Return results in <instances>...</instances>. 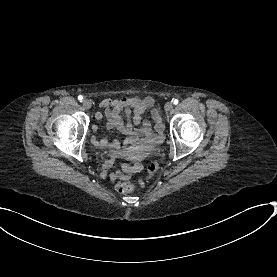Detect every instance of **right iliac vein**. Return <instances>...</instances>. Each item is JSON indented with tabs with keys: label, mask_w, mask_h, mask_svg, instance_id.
<instances>
[{
	"label": "right iliac vein",
	"mask_w": 277,
	"mask_h": 277,
	"mask_svg": "<svg viewBox=\"0 0 277 277\" xmlns=\"http://www.w3.org/2000/svg\"><path fill=\"white\" fill-rule=\"evenodd\" d=\"M91 106H92V103H91L90 100H87V99H86V100L83 101V107H84L85 109H90Z\"/></svg>",
	"instance_id": "63e3f726"
}]
</instances>
